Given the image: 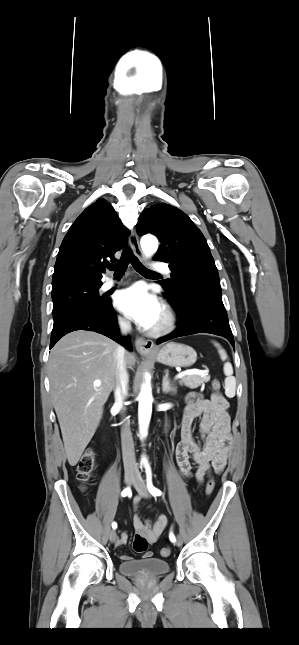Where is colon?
<instances>
[{
    "mask_svg": "<svg viewBox=\"0 0 299 645\" xmlns=\"http://www.w3.org/2000/svg\"><path fill=\"white\" fill-rule=\"evenodd\" d=\"M221 388L220 382L217 379L212 381V389L214 392H219ZM95 470V452L92 448H88L79 459L77 464V479L85 485L90 481ZM214 480L210 479L205 488L207 495H211L214 490ZM148 548L147 540L141 535H135L133 539V550L136 553H145ZM171 553L169 548H162L160 554L163 557H168Z\"/></svg>",
    "mask_w": 299,
    "mask_h": 645,
    "instance_id": "5ec220e1",
    "label": "colon"
}]
</instances>
